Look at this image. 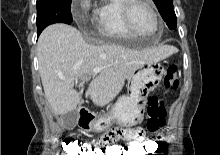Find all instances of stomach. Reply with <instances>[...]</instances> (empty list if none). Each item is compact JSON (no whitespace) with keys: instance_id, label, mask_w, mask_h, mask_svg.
I'll list each match as a JSON object with an SVG mask.
<instances>
[{"instance_id":"1","label":"stomach","mask_w":220,"mask_h":155,"mask_svg":"<svg viewBox=\"0 0 220 155\" xmlns=\"http://www.w3.org/2000/svg\"><path fill=\"white\" fill-rule=\"evenodd\" d=\"M164 75L165 67L161 63L141 67L131 75L127 95L120 97L110 112L91 120L83 128L91 132H104L114 123L120 126L137 125L144 117L148 95L158 87Z\"/></svg>"}]
</instances>
